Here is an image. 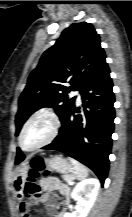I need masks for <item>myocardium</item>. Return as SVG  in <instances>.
Masks as SVG:
<instances>
[{
	"label": "myocardium",
	"mask_w": 132,
	"mask_h": 217,
	"mask_svg": "<svg viewBox=\"0 0 132 217\" xmlns=\"http://www.w3.org/2000/svg\"><path fill=\"white\" fill-rule=\"evenodd\" d=\"M39 116H47L48 118H50L51 122H52V130L50 135L48 136V138L46 140H44L42 143H40L39 145L33 147V148H26L23 145V135L25 130L27 129V127ZM60 126H61V120L59 115L57 114V112L51 108V107H41L38 110H36L24 123L20 134H19V145L20 147L25 150V151H36L39 150L45 146H47L48 144H50L51 142H53L55 140V138L57 137L59 130H60Z\"/></svg>",
	"instance_id": "obj_1"
}]
</instances>
